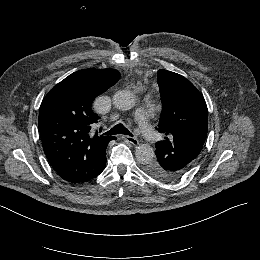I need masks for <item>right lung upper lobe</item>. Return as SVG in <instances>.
<instances>
[{
	"instance_id": "cb5924a9",
	"label": "right lung upper lobe",
	"mask_w": 260,
	"mask_h": 260,
	"mask_svg": "<svg viewBox=\"0 0 260 260\" xmlns=\"http://www.w3.org/2000/svg\"><path fill=\"white\" fill-rule=\"evenodd\" d=\"M115 69H83L58 83L43 99L39 132L45 155L60 177L72 183L100 174L106 164V148L114 136L93 134L99 117L93 100L115 85Z\"/></svg>"
}]
</instances>
